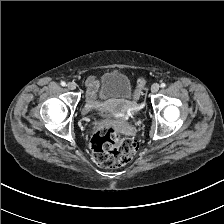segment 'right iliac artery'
<instances>
[{
    "label": "right iliac artery",
    "instance_id": "right-iliac-artery-1",
    "mask_svg": "<svg viewBox=\"0 0 224 224\" xmlns=\"http://www.w3.org/2000/svg\"><path fill=\"white\" fill-rule=\"evenodd\" d=\"M62 86H65L66 85V83L64 82V81H61V83H60Z\"/></svg>",
    "mask_w": 224,
    "mask_h": 224
}]
</instances>
